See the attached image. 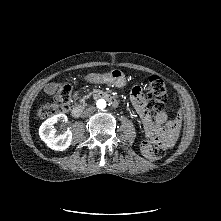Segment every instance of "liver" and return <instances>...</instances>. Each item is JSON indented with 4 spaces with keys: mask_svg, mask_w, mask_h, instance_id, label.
Listing matches in <instances>:
<instances>
[{
    "mask_svg": "<svg viewBox=\"0 0 221 221\" xmlns=\"http://www.w3.org/2000/svg\"><path fill=\"white\" fill-rule=\"evenodd\" d=\"M46 92L49 93V94H52L54 92V89H49Z\"/></svg>",
    "mask_w": 221,
    "mask_h": 221,
    "instance_id": "liver-1",
    "label": "liver"
}]
</instances>
